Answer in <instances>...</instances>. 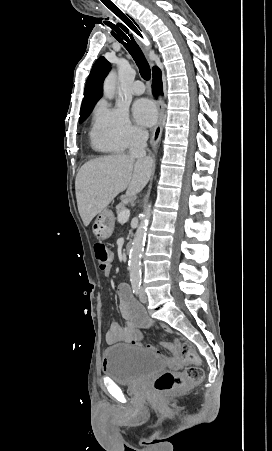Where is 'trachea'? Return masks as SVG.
<instances>
[{
  "label": "trachea",
  "mask_w": 272,
  "mask_h": 451,
  "mask_svg": "<svg viewBox=\"0 0 272 451\" xmlns=\"http://www.w3.org/2000/svg\"><path fill=\"white\" fill-rule=\"evenodd\" d=\"M122 21L130 28L135 27V22L133 19L127 18L126 20ZM117 25L122 30V33H112V35L116 38V40L124 45L126 50H128L130 55L133 57L139 68L141 77L145 80H149L151 76L150 67L145 56L143 55L142 50L140 49L139 45H137L136 41L133 38V35L129 34L128 28L123 24Z\"/></svg>",
  "instance_id": "trachea-1"
}]
</instances>
